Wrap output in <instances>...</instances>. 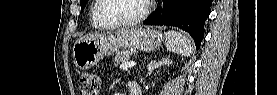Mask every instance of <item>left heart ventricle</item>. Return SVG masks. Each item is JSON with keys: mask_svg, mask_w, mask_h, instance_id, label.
Returning a JSON list of instances; mask_svg holds the SVG:
<instances>
[{"mask_svg": "<svg viewBox=\"0 0 277 95\" xmlns=\"http://www.w3.org/2000/svg\"><path fill=\"white\" fill-rule=\"evenodd\" d=\"M142 0H105L99 14L108 20L130 19L143 11Z\"/></svg>", "mask_w": 277, "mask_h": 95, "instance_id": "obj_1", "label": "left heart ventricle"}]
</instances>
